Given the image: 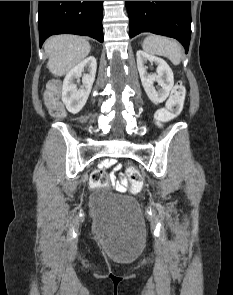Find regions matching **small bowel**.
I'll return each mask as SVG.
<instances>
[{
	"mask_svg": "<svg viewBox=\"0 0 233 295\" xmlns=\"http://www.w3.org/2000/svg\"><path fill=\"white\" fill-rule=\"evenodd\" d=\"M105 167H111L115 166V171H118L121 168L120 164H117V161L115 159H108L104 162ZM112 183L115 186L116 190L119 192H124L126 190V187L118 182L115 178L112 179Z\"/></svg>",
	"mask_w": 233,
	"mask_h": 295,
	"instance_id": "c3829d8e",
	"label": "small bowel"
}]
</instances>
